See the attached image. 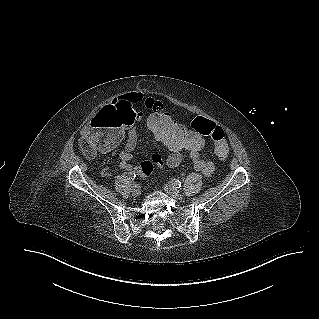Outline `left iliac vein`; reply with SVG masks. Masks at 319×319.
I'll return each instance as SVG.
<instances>
[{"label":"left iliac vein","mask_w":319,"mask_h":319,"mask_svg":"<svg viewBox=\"0 0 319 319\" xmlns=\"http://www.w3.org/2000/svg\"><path fill=\"white\" fill-rule=\"evenodd\" d=\"M164 190L173 198H179L180 192L170 184L164 185Z\"/></svg>","instance_id":"obj_1"}]
</instances>
